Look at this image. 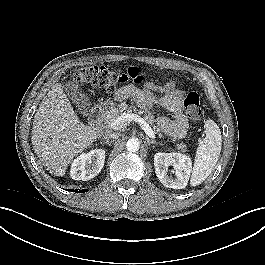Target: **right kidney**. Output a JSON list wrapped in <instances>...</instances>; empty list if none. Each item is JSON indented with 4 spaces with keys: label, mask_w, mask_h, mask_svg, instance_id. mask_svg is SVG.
<instances>
[{
    "label": "right kidney",
    "mask_w": 265,
    "mask_h": 265,
    "mask_svg": "<svg viewBox=\"0 0 265 265\" xmlns=\"http://www.w3.org/2000/svg\"><path fill=\"white\" fill-rule=\"evenodd\" d=\"M105 150L94 149L78 156L71 165L70 175L74 180L87 181L99 174L104 166Z\"/></svg>",
    "instance_id": "right-kidney-1"
}]
</instances>
